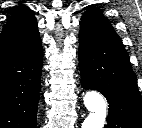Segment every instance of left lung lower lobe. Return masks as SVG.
Segmentation results:
<instances>
[{
    "mask_svg": "<svg viewBox=\"0 0 142 128\" xmlns=\"http://www.w3.org/2000/svg\"><path fill=\"white\" fill-rule=\"evenodd\" d=\"M82 86L101 92L109 103L105 128H142V97L120 38L80 22Z\"/></svg>",
    "mask_w": 142,
    "mask_h": 128,
    "instance_id": "1",
    "label": "left lung lower lobe"
}]
</instances>
